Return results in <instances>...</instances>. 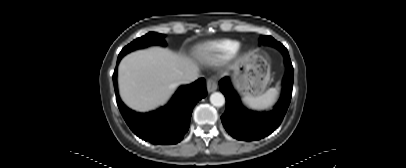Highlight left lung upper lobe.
Masks as SVG:
<instances>
[{
  "mask_svg": "<svg viewBox=\"0 0 406 168\" xmlns=\"http://www.w3.org/2000/svg\"><path fill=\"white\" fill-rule=\"evenodd\" d=\"M260 42L263 45H270V46H274L277 49H279L280 51H285L287 50L280 42L276 41L274 38H272L271 36H261Z\"/></svg>",
  "mask_w": 406,
  "mask_h": 168,
  "instance_id": "5c2ea615",
  "label": "left lung upper lobe"
}]
</instances>
